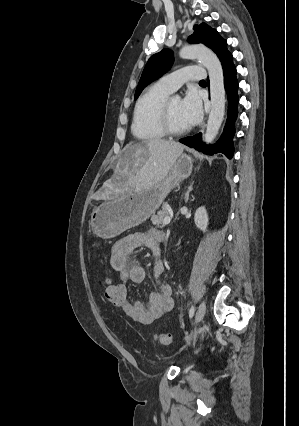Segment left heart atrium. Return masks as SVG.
Masks as SVG:
<instances>
[{
  "label": "left heart atrium",
  "instance_id": "39dd6f15",
  "mask_svg": "<svg viewBox=\"0 0 299 426\" xmlns=\"http://www.w3.org/2000/svg\"><path fill=\"white\" fill-rule=\"evenodd\" d=\"M182 115L187 125L197 124L202 117V104L199 96L190 91L181 101Z\"/></svg>",
  "mask_w": 299,
  "mask_h": 426
}]
</instances>
